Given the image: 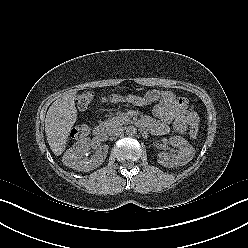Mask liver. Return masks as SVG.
<instances>
[{
    "mask_svg": "<svg viewBox=\"0 0 248 248\" xmlns=\"http://www.w3.org/2000/svg\"><path fill=\"white\" fill-rule=\"evenodd\" d=\"M76 92L69 91L49 107L45 119V132L52 152L59 156L66 148L69 132L77 120Z\"/></svg>",
    "mask_w": 248,
    "mask_h": 248,
    "instance_id": "obj_1",
    "label": "liver"
}]
</instances>
